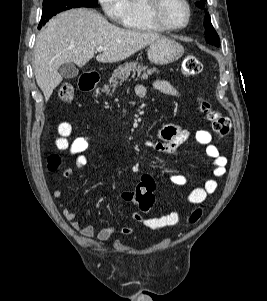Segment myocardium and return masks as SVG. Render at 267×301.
Here are the masks:
<instances>
[{"instance_id": "1", "label": "myocardium", "mask_w": 267, "mask_h": 301, "mask_svg": "<svg viewBox=\"0 0 267 301\" xmlns=\"http://www.w3.org/2000/svg\"><path fill=\"white\" fill-rule=\"evenodd\" d=\"M184 4L187 12V17L182 25H173L169 23L163 16L162 9L165 4V0H149L148 10L151 18L162 28L166 30H181L187 27L191 21L192 10L188 0H181Z\"/></svg>"}]
</instances>
